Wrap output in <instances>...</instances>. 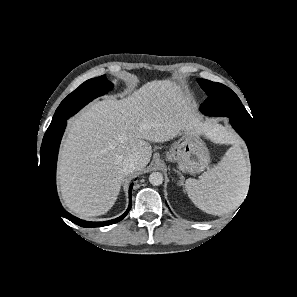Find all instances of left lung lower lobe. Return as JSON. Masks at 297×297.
<instances>
[{
	"mask_svg": "<svg viewBox=\"0 0 297 297\" xmlns=\"http://www.w3.org/2000/svg\"><path fill=\"white\" fill-rule=\"evenodd\" d=\"M230 122H231L233 128L236 130V132L245 140L247 147L249 149L251 167H252L250 190L248 192V195H249V193L251 191L252 183H253L254 171L256 172V168H257V164H258V157H259L258 156V140H257L258 136L256 137V130L253 125L239 121L235 118H230ZM248 195H247V197H248ZM247 197H246V199H247ZM246 199H245V201H246Z\"/></svg>",
	"mask_w": 297,
	"mask_h": 297,
	"instance_id": "obj_1",
	"label": "left lung lower lobe"
}]
</instances>
